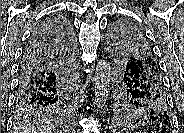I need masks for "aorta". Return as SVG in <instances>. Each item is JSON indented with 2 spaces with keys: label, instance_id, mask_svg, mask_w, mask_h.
<instances>
[{
  "label": "aorta",
  "instance_id": "aorta-1",
  "mask_svg": "<svg viewBox=\"0 0 184 133\" xmlns=\"http://www.w3.org/2000/svg\"><path fill=\"white\" fill-rule=\"evenodd\" d=\"M111 72L109 61L104 58L100 59L94 76L95 104L98 108H102L108 99Z\"/></svg>",
  "mask_w": 184,
  "mask_h": 133
}]
</instances>
